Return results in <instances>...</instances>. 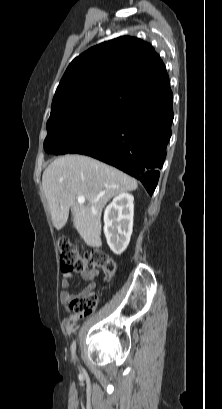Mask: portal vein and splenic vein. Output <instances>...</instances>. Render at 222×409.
Returning a JSON list of instances; mask_svg holds the SVG:
<instances>
[{
    "instance_id": "18ae733b",
    "label": "portal vein and splenic vein",
    "mask_w": 222,
    "mask_h": 409,
    "mask_svg": "<svg viewBox=\"0 0 222 409\" xmlns=\"http://www.w3.org/2000/svg\"><path fill=\"white\" fill-rule=\"evenodd\" d=\"M77 202H78L79 204H84V202H85V197L82 196V195L78 196V197H77Z\"/></svg>"
}]
</instances>
